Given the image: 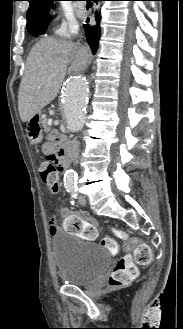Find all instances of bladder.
I'll list each match as a JSON object with an SVG mask.
<instances>
[{"mask_svg": "<svg viewBox=\"0 0 183 329\" xmlns=\"http://www.w3.org/2000/svg\"><path fill=\"white\" fill-rule=\"evenodd\" d=\"M51 251L59 279L71 285H93L111 265V257L102 246L70 232L55 234Z\"/></svg>", "mask_w": 183, "mask_h": 329, "instance_id": "bladder-1", "label": "bladder"}]
</instances>
